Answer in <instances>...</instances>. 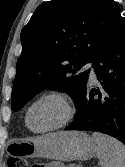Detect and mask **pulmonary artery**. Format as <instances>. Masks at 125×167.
I'll list each match as a JSON object with an SVG mask.
<instances>
[{"instance_id":"obj_1","label":"pulmonary artery","mask_w":125,"mask_h":167,"mask_svg":"<svg viewBox=\"0 0 125 167\" xmlns=\"http://www.w3.org/2000/svg\"><path fill=\"white\" fill-rule=\"evenodd\" d=\"M86 68H91V64H87V65H86ZM95 77H96V76H95V73H94L93 69L91 68V78H92V79H95Z\"/></svg>"}]
</instances>
